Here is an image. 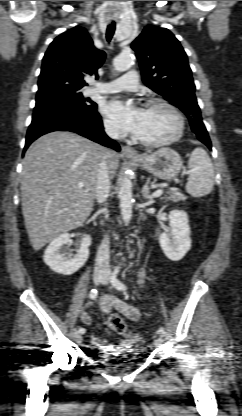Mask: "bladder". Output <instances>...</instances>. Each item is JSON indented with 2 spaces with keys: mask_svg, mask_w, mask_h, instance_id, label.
Listing matches in <instances>:
<instances>
[{
  "mask_svg": "<svg viewBox=\"0 0 242 416\" xmlns=\"http://www.w3.org/2000/svg\"><path fill=\"white\" fill-rule=\"evenodd\" d=\"M111 367H112L113 369L119 370V369L125 368V367H127V366H126V365H111Z\"/></svg>",
  "mask_w": 242,
  "mask_h": 416,
  "instance_id": "1",
  "label": "bladder"
}]
</instances>
